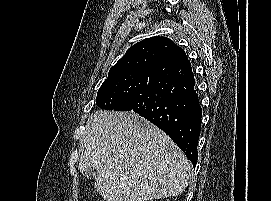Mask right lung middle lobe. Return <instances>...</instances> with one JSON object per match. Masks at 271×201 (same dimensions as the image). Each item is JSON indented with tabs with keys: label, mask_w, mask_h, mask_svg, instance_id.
Here are the masks:
<instances>
[{
	"label": "right lung middle lobe",
	"mask_w": 271,
	"mask_h": 201,
	"mask_svg": "<svg viewBox=\"0 0 271 201\" xmlns=\"http://www.w3.org/2000/svg\"><path fill=\"white\" fill-rule=\"evenodd\" d=\"M150 69H139L109 76L101 85L96 104L105 110H120L126 98L142 93L151 80Z\"/></svg>",
	"instance_id": "dd1d6c3e"
}]
</instances>
